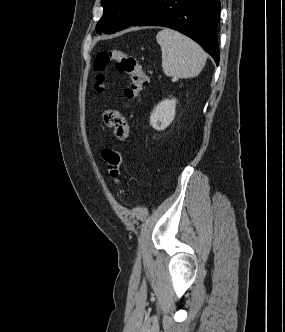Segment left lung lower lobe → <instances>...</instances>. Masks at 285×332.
I'll list each match as a JSON object with an SVG mask.
<instances>
[{
	"mask_svg": "<svg viewBox=\"0 0 285 332\" xmlns=\"http://www.w3.org/2000/svg\"><path fill=\"white\" fill-rule=\"evenodd\" d=\"M220 0H154L131 25L164 26L177 30L202 46L219 63L217 42Z\"/></svg>",
	"mask_w": 285,
	"mask_h": 332,
	"instance_id": "left-lung-lower-lobe-1",
	"label": "left lung lower lobe"
}]
</instances>
